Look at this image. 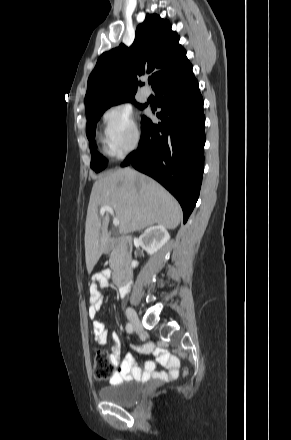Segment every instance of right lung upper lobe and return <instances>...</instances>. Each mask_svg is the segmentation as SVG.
I'll return each mask as SVG.
<instances>
[{
    "instance_id": "right-lung-upper-lobe-1",
    "label": "right lung upper lobe",
    "mask_w": 291,
    "mask_h": 440,
    "mask_svg": "<svg viewBox=\"0 0 291 440\" xmlns=\"http://www.w3.org/2000/svg\"><path fill=\"white\" fill-rule=\"evenodd\" d=\"M179 39L168 20L147 14L129 48L120 44L99 57L88 79L86 113L134 97L138 85H143L138 81L141 75L151 74L155 90L160 83L191 66Z\"/></svg>"
}]
</instances>
